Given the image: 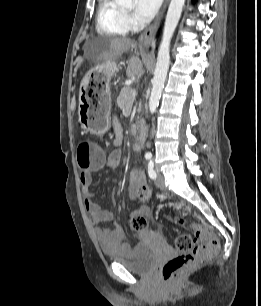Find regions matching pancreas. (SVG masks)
<instances>
[{
  "instance_id": "1",
  "label": "pancreas",
  "mask_w": 261,
  "mask_h": 306,
  "mask_svg": "<svg viewBox=\"0 0 261 306\" xmlns=\"http://www.w3.org/2000/svg\"><path fill=\"white\" fill-rule=\"evenodd\" d=\"M133 90L134 89L130 86L123 87L121 89L120 94L117 98V104L121 110L124 111L131 108L135 100V96H133ZM140 110H141V104H139L138 112H140Z\"/></svg>"
}]
</instances>
